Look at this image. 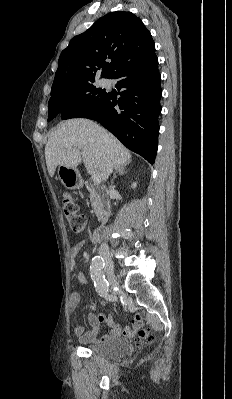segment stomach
I'll return each instance as SVG.
<instances>
[{
	"instance_id": "stomach-1",
	"label": "stomach",
	"mask_w": 232,
	"mask_h": 399,
	"mask_svg": "<svg viewBox=\"0 0 232 399\" xmlns=\"http://www.w3.org/2000/svg\"><path fill=\"white\" fill-rule=\"evenodd\" d=\"M58 178L61 180L63 186L68 190H75L81 188L82 178L76 168H67V166H59Z\"/></svg>"
}]
</instances>
